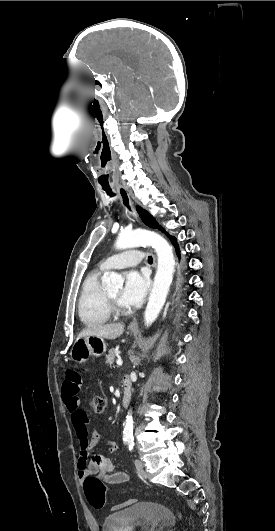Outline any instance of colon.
I'll list each match as a JSON object with an SVG mask.
<instances>
[{"instance_id":"1","label":"colon","mask_w":275,"mask_h":531,"mask_svg":"<svg viewBox=\"0 0 275 531\" xmlns=\"http://www.w3.org/2000/svg\"><path fill=\"white\" fill-rule=\"evenodd\" d=\"M66 372H68V370ZM82 399L84 402H90V406L95 413L100 414L104 412L105 400L102 397L95 395L93 391H84ZM84 481V494L87 501L91 503L93 509L102 511L104 506L101 501L103 500L104 491L108 489V486L103 483H96L97 478L93 474L86 475Z\"/></svg>"}]
</instances>
